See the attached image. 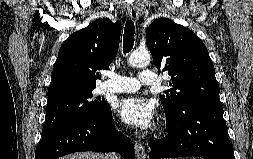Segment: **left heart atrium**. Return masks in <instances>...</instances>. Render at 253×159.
Segmentation results:
<instances>
[{
	"mask_svg": "<svg viewBox=\"0 0 253 159\" xmlns=\"http://www.w3.org/2000/svg\"><path fill=\"white\" fill-rule=\"evenodd\" d=\"M120 118L128 125L141 130L149 129L155 118V105L140 96L122 99L117 105Z\"/></svg>",
	"mask_w": 253,
	"mask_h": 159,
	"instance_id": "obj_1",
	"label": "left heart atrium"
}]
</instances>
